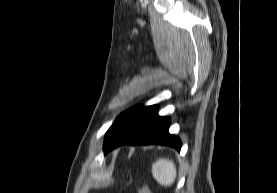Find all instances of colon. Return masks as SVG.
Masks as SVG:
<instances>
[{"mask_svg":"<svg viewBox=\"0 0 277 193\" xmlns=\"http://www.w3.org/2000/svg\"><path fill=\"white\" fill-rule=\"evenodd\" d=\"M136 191L137 193H152L148 185L144 183H138L136 185Z\"/></svg>","mask_w":277,"mask_h":193,"instance_id":"colon-1","label":"colon"}]
</instances>
